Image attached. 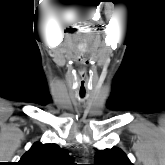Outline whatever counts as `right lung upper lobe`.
Listing matches in <instances>:
<instances>
[{
    "mask_svg": "<svg viewBox=\"0 0 165 165\" xmlns=\"http://www.w3.org/2000/svg\"><path fill=\"white\" fill-rule=\"evenodd\" d=\"M18 165H77L73 158L57 144H42L36 142L27 151Z\"/></svg>",
    "mask_w": 165,
    "mask_h": 165,
    "instance_id": "right-lung-upper-lobe-1",
    "label": "right lung upper lobe"
}]
</instances>
